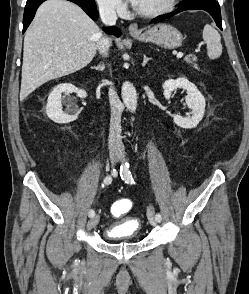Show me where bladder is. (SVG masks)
I'll return each instance as SVG.
<instances>
[{"label": "bladder", "mask_w": 249, "mask_h": 294, "mask_svg": "<svg viewBox=\"0 0 249 294\" xmlns=\"http://www.w3.org/2000/svg\"><path fill=\"white\" fill-rule=\"evenodd\" d=\"M141 232V226L130 218L121 220L116 225L111 226L105 233V239L116 240L127 238L135 240Z\"/></svg>", "instance_id": "1"}]
</instances>
